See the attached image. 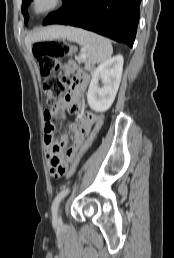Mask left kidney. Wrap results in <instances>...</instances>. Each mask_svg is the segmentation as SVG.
<instances>
[{"mask_svg": "<svg viewBox=\"0 0 174 258\" xmlns=\"http://www.w3.org/2000/svg\"><path fill=\"white\" fill-rule=\"evenodd\" d=\"M123 70V57L117 55L102 62L92 74L87 101L95 112L107 111L116 97ZM101 81L102 86H99Z\"/></svg>", "mask_w": 174, "mask_h": 258, "instance_id": "obj_1", "label": "left kidney"}]
</instances>
